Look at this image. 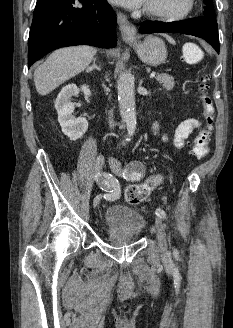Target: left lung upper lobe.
I'll return each instance as SVG.
<instances>
[{"instance_id":"left-lung-upper-lobe-1","label":"left lung upper lobe","mask_w":233,"mask_h":328,"mask_svg":"<svg viewBox=\"0 0 233 328\" xmlns=\"http://www.w3.org/2000/svg\"><path fill=\"white\" fill-rule=\"evenodd\" d=\"M204 3L206 4L204 7V17L211 20L215 19V12L213 8V0H204Z\"/></svg>"}]
</instances>
